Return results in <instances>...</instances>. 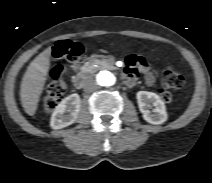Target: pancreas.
Returning <instances> with one entry per match:
<instances>
[{
  "label": "pancreas",
  "instance_id": "cf45deb5",
  "mask_svg": "<svg viewBox=\"0 0 212 183\" xmlns=\"http://www.w3.org/2000/svg\"><path fill=\"white\" fill-rule=\"evenodd\" d=\"M97 64L99 68L102 69H109L113 70L115 69L114 66H112V62L109 60H91L85 64L86 69H94V65Z\"/></svg>",
  "mask_w": 212,
  "mask_h": 183
}]
</instances>
